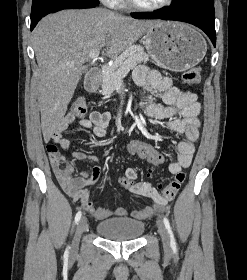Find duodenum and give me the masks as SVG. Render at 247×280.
<instances>
[{
  "instance_id": "1",
  "label": "duodenum",
  "mask_w": 247,
  "mask_h": 280,
  "mask_svg": "<svg viewBox=\"0 0 247 280\" xmlns=\"http://www.w3.org/2000/svg\"><path fill=\"white\" fill-rule=\"evenodd\" d=\"M101 74L102 73L99 68H93L89 71L85 81V88L88 91L97 90L100 84Z\"/></svg>"
}]
</instances>
